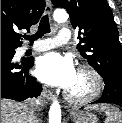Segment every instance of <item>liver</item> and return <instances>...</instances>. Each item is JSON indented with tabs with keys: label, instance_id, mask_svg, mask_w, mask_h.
<instances>
[{
	"label": "liver",
	"instance_id": "6515ba94",
	"mask_svg": "<svg viewBox=\"0 0 122 123\" xmlns=\"http://www.w3.org/2000/svg\"><path fill=\"white\" fill-rule=\"evenodd\" d=\"M1 123H35V115L27 104L1 99Z\"/></svg>",
	"mask_w": 122,
	"mask_h": 123
}]
</instances>
